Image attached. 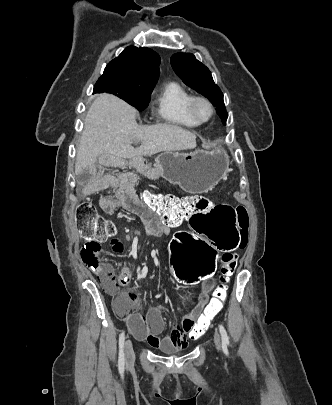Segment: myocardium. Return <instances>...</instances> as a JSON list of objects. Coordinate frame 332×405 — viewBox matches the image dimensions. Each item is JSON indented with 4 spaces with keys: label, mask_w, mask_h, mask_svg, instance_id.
<instances>
[{
    "label": "myocardium",
    "mask_w": 332,
    "mask_h": 405,
    "mask_svg": "<svg viewBox=\"0 0 332 405\" xmlns=\"http://www.w3.org/2000/svg\"><path fill=\"white\" fill-rule=\"evenodd\" d=\"M198 102H204L208 105L209 109H210V114L207 118L203 119L200 118L196 112V104ZM187 111L189 113V115L198 123L203 124L208 122L214 115V106L213 103L211 102V100L209 98H207L206 96L203 95H195L192 96L188 103H187Z\"/></svg>",
    "instance_id": "f54148a6"
}]
</instances>
